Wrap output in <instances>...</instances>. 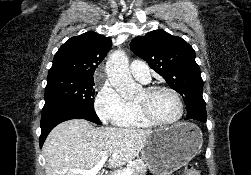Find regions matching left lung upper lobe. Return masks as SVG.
<instances>
[{
	"instance_id": "left-lung-upper-lobe-1",
	"label": "left lung upper lobe",
	"mask_w": 251,
	"mask_h": 175,
	"mask_svg": "<svg viewBox=\"0 0 251 175\" xmlns=\"http://www.w3.org/2000/svg\"><path fill=\"white\" fill-rule=\"evenodd\" d=\"M130 48L180 93L186 104H205L195 51L184 39L159 29L134 38Z\"/></svg>"
}]
</instances>
